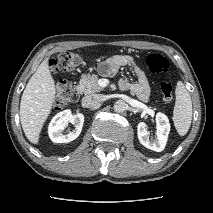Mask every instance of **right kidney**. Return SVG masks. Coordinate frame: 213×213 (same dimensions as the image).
<instances>
[{"mask_svg":"<svg viewBox=\"0 0 213 213\" xmlns=\"http://www.w3.org/2000/svg\"><path fill=\"white\" fill-rule=\"evenodd\" d=\"M71 122L75 125V129L64 135L62 132L66 128L67 123ZM84 123V115L81 113L72 114L70 110H64L56 114L48 127L50 139L54 143H68L75 140L81 133Z\"/></svg>","mask_w":213,"mask_h":213,"instance_id":"obj_1","label":"right kidney"}]
</instances>
